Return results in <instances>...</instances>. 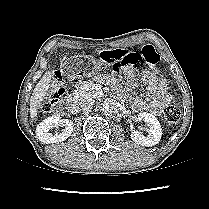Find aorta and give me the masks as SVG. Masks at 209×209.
<instances>
[{
  "label": "aorta",
  "instance_id": "obj_1",
  "mask_svg": "<svg viewBox=\"0 0 209 209\" xmlns=\"http://www.w3.org/2000/svg\"><path fill=\"white\" fill-rule=\"evenodd\" d=\"M101 110L105 115H111L114 112V107L109 103H104Z\"/></svg>",
  "mask_w": 209,
  "mask_h": 209
}]
</instances>
